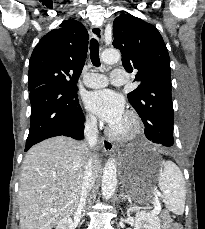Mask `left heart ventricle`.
<instances>
[{"mask_svg": "<svg viewBox=\"0 0 205 229\" xmlns=\"http://www.w3.org/2000/svg\"><path fill=\"white\" fill-rule=\"evenodd\" d=\"M127 124H128V122H127L126 118L123 117V119L113 127L117 130H124L127 127Z\"/></svg>", "mask_w": 205, "mask_h": 229, "instance_id": "b2bd125f", "label": "left heart ventricle"}]
</instances>
